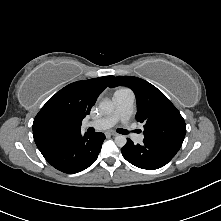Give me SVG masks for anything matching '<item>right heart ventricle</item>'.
<instances>
[{"instance_id":"e07e8e85","label":"right heart ventricle","mask_w":221,"mask_h":221,"mask_svg":"<svg viewBox=\"0 0 221 221\" xmlns=\"http://www.w3.org/2000/svg\"><path fill=\"white\" fill-rule=\"evenodd\" d=\"M127 89H125V88H121V89H119V90H117L116 92H118V91H126Z\"/></svg>"}]
</instances>
